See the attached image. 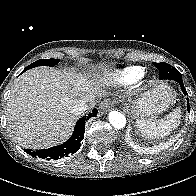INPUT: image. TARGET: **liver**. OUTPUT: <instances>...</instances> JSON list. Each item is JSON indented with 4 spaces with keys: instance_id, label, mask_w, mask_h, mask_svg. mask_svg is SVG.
<instances>
[{
    "instance_id": "1",
    "label": "liver",
    "mask_w": 196,
    "mask_h": 196,
    "mask_svg": "<svg viewBox=\"0 0 196 196\" xmlns=\"http://www.w3.org/2000/svg\"><path fill=\"white\" fill-rule=\"evenodd\" d=\"M101 81L70 71L33 68L13 84L7 101V129L25 148L42 149L64 142L79 115L71 112L75 100L90 107L105 94Z\"/></svg>"
}]
</instances>
